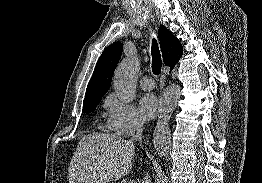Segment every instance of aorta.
<instances>
[{"mask_svg":"<svg viewBox=\"0 0 262 183\" xmlns=\"http://www.w3.org/2000/svg\"><path fill=\"white\" fill-rule=\"evenodd\" d=\"M138 69V60L129 58L122 61L114 73L113 87L122 102L130 103L135 98ZM180 96V86L173 84L163 92L159 101L158 120L153 134V143L156 152L161 157L168 154L171 146L169 119L180 100Z\"/></svg>","mask_w":262,"mask_h":183,"instance_id":"obj_1","label":"aorta"}]
</instances>
